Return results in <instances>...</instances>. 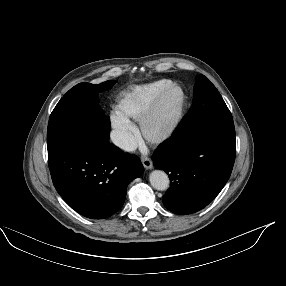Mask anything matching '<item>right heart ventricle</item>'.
I'll use <instances>...</instances> for the list:
<instances>
[{"label": "right heart ventricle", "mask_w": 286, "mask_h": 286, "mask_svg": "<svg viewBox=\"0 0 286 286\" xmlns=\"http://www.w3.org/2000/svg\"><path fill=\"white\" fill-rule=\"evenodd\" d=\"M172 84L170 79H159L128 87L118 97V112L128 120L139 121L153 100Z\"/></svg>", "instance_id": "e07e8e85"}]
</instances>
